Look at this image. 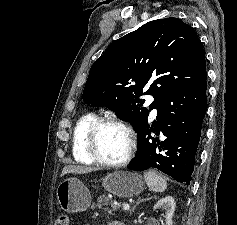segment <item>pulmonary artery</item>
<instances>
[{
  "instance_id": "e3ab8cb5",
  "label": "pulmonary artery",
  "mask_w": 237,
  "mask_h": 225,
  "mask_svg": "<svg viewBox=\"0 0 237 225\" xmlns=\"http://www.w3.org/2000/svg\"><path fill=\"white\" fill-rule=\"evenodd\" d=\"M152 97H148L147 98V103H151L152 102ZM156 115V111L154 110L153 112H152V116H155Z\"/></svg>"
}]
</instances>
